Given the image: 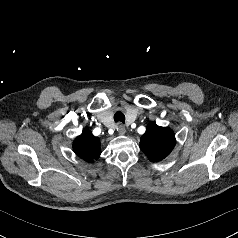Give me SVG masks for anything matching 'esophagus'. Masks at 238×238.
<instances>
[{
    "instance_id": "esophagus-1",
    "label": "esophagus",
    "mask_w": 238,
    "mask_h": 238,
    "mask_svg": "<svg viewBox=\"0 0 238 238\" xmlns=\"http://www.w3.org/2000/svg\"><path fill=\"white\" fill-rule=\"evenodd\" d=\"M117 132H118V134H120V135H124L125 132H126L125 126H124L123 124L119 123V124L117 125Z\"/></svg>"
}]
</instances>
